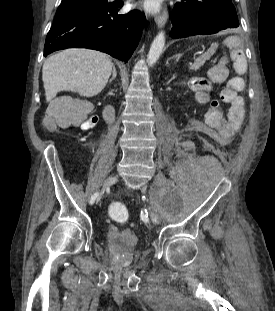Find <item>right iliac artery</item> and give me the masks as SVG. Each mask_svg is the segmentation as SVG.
Returning <instances> with one entry per match:
<instances>
[{
	"instance_id": "1",
	"label": "right iliac artery",
	"mask_w": 275,
	"mask_h": 311,
	"mask_svg": "<svg viewBox=\"0 0 275 311\" xmlns=\"http://www.w3.org/2000/svg\"><path fill=\"white\" fill-rule=\"evenodd\" d=\"M98 195H99L98 192L94 193V194L91 196V199H90L89 203H90V204H93L94 201L96 200V198L98 197Z\"/></svg>"
}]
</instances>
